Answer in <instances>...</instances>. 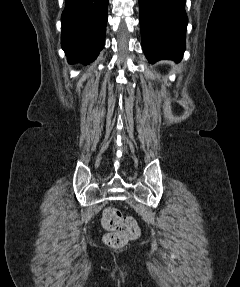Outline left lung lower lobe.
<instances>
[{"instance_id":"1","label":"left lung lower lobe","mask_w":240,"mask_h":287,"mask_svg":"<svg viewBox=\"0 0 240 287\" xmlns=\"http://www.w3.org/2000/svg\"><path fill=\"white\" fill-rule=\"evenodd\" d=\"M185 0H139L142 47L149 62L180 61L185 51Z\"/></svg>"}]
</instances>
